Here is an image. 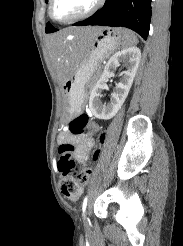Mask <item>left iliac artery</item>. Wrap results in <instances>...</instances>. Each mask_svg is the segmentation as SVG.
I'll return each mask as SVG.
<instances>
[{
	"label": "left iliac artery",
	"mask_w": 183,
	"mask_h": 246,
	"mask_svg": "<svg viewBox=\"0 0 183 246\" xmlns=\"http://www.w3.org/2000/svg\"><path fill=\"white\" fill-rule=\"evenodd\" d=\"M87 202H88V196H85V198L83 200V204H82L83 215H84L86 207H87Z\"/></svg>",
	"instance_id": "obj_1"
}]
</instances>
